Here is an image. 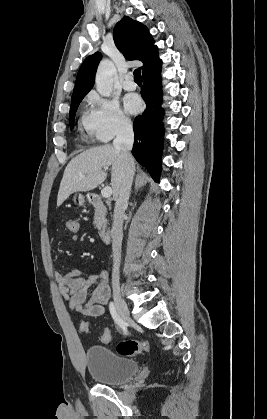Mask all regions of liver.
Instances as JSON below:
<instances>
[{"label": "liver", "instance_id": "liver-1", "mask_svg": "<svg viewBox=\"0 0 267 419\" xmlns=\"http://www.w3.org/2000/svg\"><path fill=\"white\" fill-rule=\"evenodd\" d=\"M109 166H111L112 193L113 197L117 198L123 174V160L119 150L111 144H105L80 153L68 163L60 183L57 206L74 192L95 189L105 181Z\"/></svg>", "mask_w": 267, "mask_h": 419}]
</instances>
